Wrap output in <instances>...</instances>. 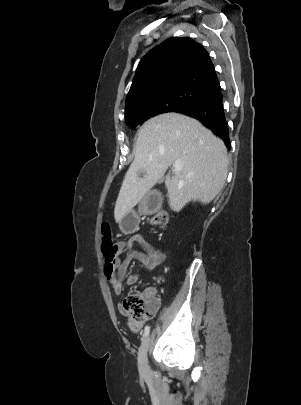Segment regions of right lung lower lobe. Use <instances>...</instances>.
Masks as SVG:
<instances>
[{"mask_svg": "<svg viewBox=\"0 0 301 405\" xmlns=\"http://www.w3.org/2000/svg\"><path fill=\"white\" fill-rule=\"evenodd\" d=\"M220 90L204 102L182 107L174 112L199 120L205 127L220 137L227 147H230L229 128L224 115Z\"/></svg>", "mask_w": 301, "mask_h": 405, "instance_id": "obj_1", "label": "right lung lower lobe"}]
</instances>
